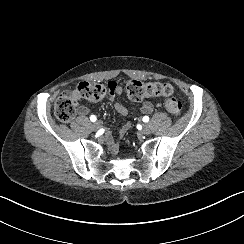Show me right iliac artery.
<instances>
[{"mask_svg": "<svg viewBox=\"0 0 244 244\" xmlns=\"http://www.w3.org/2000/svg\"><path fill=\"white\" fill-rule=\"evenodd\" d=\"M90 120H91L92 122H95V121H96V116L91 115V116H90Z\"/></svg>", "mask_w": 244, "mask_h": 244, "instance_id": "right-iliac-artery-1", "label": "right iliac artery"}]
</instances>
